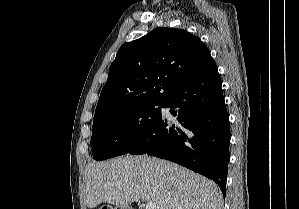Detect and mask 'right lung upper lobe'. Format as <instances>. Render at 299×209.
<instances>
[{
    "instance_id": "1",
    "label": "right lung upper lobe",
    "mask_w": 299,
    "mask_h": 209,
    "mask_svg": "<svg viewBox=\"0 0 299 209\" xmlns=\"http://www.w3.org/2000/svg\"><path fill=\"white\" fill-rule=\"evenodd\" d=\"M205 69L217 66L198 37L183 29L157 28L119 49L95 115L125 105L164 102L178 84Z\"/></svg>"
}]
</instances>
